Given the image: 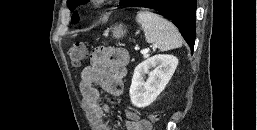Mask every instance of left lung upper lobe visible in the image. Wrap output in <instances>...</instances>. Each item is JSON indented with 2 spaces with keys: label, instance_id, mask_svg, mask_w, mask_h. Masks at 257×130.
Instances as JSON below:
<instances>
[{
  "label": "left lung upper lobe",
  "instance_id": "5c2ea615",
  "mask_svg": "<svg viewBox=\"0 0 257 130\" xmlns=\"http://www.w3.org/2000/svg\"><path fill=\"white\" fill-rule=\"evenodd\" d=\"M138 0H121L120 5H126V4H136ZM86 2V0H67V5L71 11L74 10V8L82 3ZM79 20V16L77 12L73 13L72 16V23H76Z\"/></svg>",
  "mask_w": 257,
  "mask_h": 130
}]
</instances>
